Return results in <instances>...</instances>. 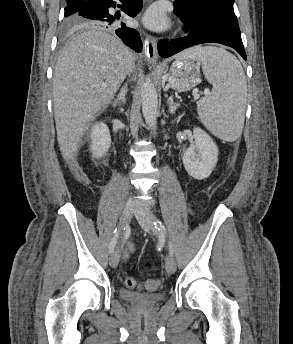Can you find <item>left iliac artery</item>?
<instances>
[{
  "mask_svg": "<svg viewBox=\"0 0 293 344\" xmlns=\"http://www.w3.org/2000/svg\"><path fill=\"white\" fill-rule=\"evenodd\" d=\"M154 225H155V227H156L160 232H165V231H166V229H165V227H164V225L162 224L161 221L156 220V221L154 222ZM169 248H170V253L173 254V249H172V245H171V244H169Z\"/></svg>",
  "mask_w": 293,
  "mask_h": 344,
  "instance_id": "left-iliac-artery-1",
  "label": "left iliac artery"
}]
</instances>
